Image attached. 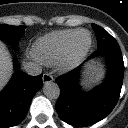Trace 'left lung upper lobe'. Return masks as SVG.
<instances>
[{"instance_id":"left-lung-upper-lobe-1","label":"left lung upper lobe","mask_w":128,"mask_h":128,"mask_svg":"<svg viewBox=\"0 0 128 128\" xmlns=\"http://www.w3.org/2000/svg\"><path fill=\"white\" fill-rule=\"evenodd\" d=\"M92 27L96 33L98 48L117 43V41L102 27L96 24H92Z\"/></svg>"}]
</instances>
